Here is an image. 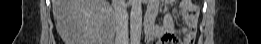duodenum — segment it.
I'll return each instance as SVG.
<instances>
[{"label": "duodenum", "instance_id": "obj_1", "mask_svg": "<svg viewBox=\"0 0 261 44\" xmlns=\"http://www.w3.org/2000/svg\"><path fill=\"white\" fill-rule=\"evenodd\" d=\"M152 25H153L152 19L149 16L146 15V18H145V33H146V35L150 34Z\"/></svg>", "mask_w": 261, "mask_h": 44}]
</instances>
